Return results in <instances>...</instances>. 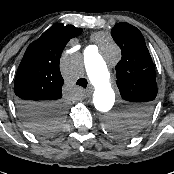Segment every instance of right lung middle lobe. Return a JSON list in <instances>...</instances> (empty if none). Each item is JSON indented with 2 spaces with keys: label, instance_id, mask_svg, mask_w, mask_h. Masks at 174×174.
<instances>
[{
  "label": "right lung middle lobe",
  "instance_id": "1",
  "mask_svg": "<svg viewBox=\"0 0 174 174\" xmlns=\"http://www.w3.org/2000/svg\"><path fill=\"white\" fill-rule=\"evenodd\" d=\"M60 112H50L44 119L28 123V127L38 134H49L59 125L61 121Z\"/></svg>",
  "mask_w": 174,
  "mask_h": 174
}]
</instances>
